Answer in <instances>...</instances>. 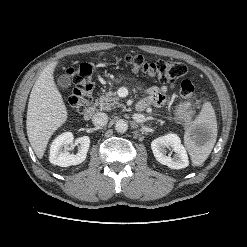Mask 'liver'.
<instances>
[{"mask_svg": "<svg viewBox=\"0 0 247 247\" xmlns=\"http://www.w3.org/2000/svg\"><path fill=\"white\" fill-rule=\"evenodd\" d=\"M58 61L47 65L36 80L28 102L26 129L29 142L38 158L42 159L53 133L68 118L61 93L54 82Z\"/></svg>", "mask_w": 247, "mask_h": 247, "instance_id": "obj_1", "label": "liver"}]
</instances>
